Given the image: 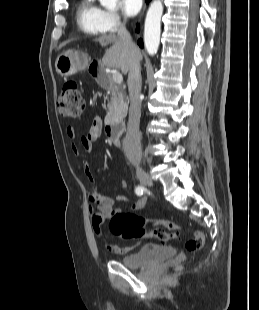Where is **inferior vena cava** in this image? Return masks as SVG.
<instances>
[{
  "instance_id": "inferior-vena-cava-1",
  "label": "inferior vena cava",
  "mask_w": 259,
  "mask_h": 310,
  "mask_svg": "<svg viewBox=\"0 0 259 310\" xmlns=\"http://www.w3.org/2000/svg\"><path fill=\"white\" fill-rule=\"evenodd\" d=\"M118 37L128 46L132 51L136 49V45L131 39L130 33L125 27V23H118ZM128 90L130 96L129 120H128V135L132 139L131 147V161L134 164H139L141 161L140 148V132L139 123L141 117V67L140 60L137 57L132 58L128 74Z\"/></svg>"
}]
</instances>
